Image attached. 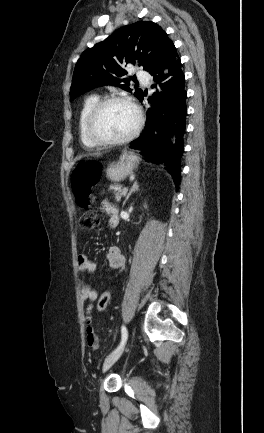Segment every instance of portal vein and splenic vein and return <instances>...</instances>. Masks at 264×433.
<instances>
[{
    "instance_id": "portal-vein-and-splenic-vein-1",
    "label": "portal vein and splenic vein",
    "mask_w": 264,
    "mask_h": 433,
    "mask_svg": "<svg viewBox=\"0 0 264 433\" xmlns=\"http://www.w3.org/2000/svg\"><path fill=\"white\" fill-rule=\"evenodd\" d=\"M127 191H128V188H127V187L123 188V192H124V193H127Z\"/></svg>"
}]
</instances>
